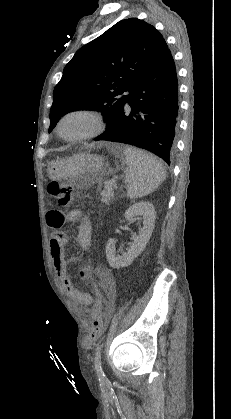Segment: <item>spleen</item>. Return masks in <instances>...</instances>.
<instances>
[{
    "mask_svg": "<svg viewBox=\"0 0 231 419\" xmlns=\"http://www.w3.org/2000/svg\"><path fill=\"white\" fill-rule=\"evenodd\" d=\"M127 196L142 198L153 192L166 178L162 164L151 154L127 146L124 148Z\"/></svg>",
    "mask_w": 231,
    "mask_h": 419,
    "instance_id": "3e777b00",
    "label": "spleen"
}]
</instances>
